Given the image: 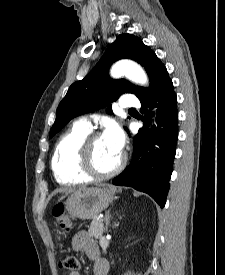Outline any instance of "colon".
<instances>
[{
  "label": "colon",
  "instance_id": "obj_1",
  "mask_svg": "<svg viewBox=\"0 0 225 275\" xmlns=\"http://www.w3.org/2000/svg\"><path fill=\"white\" fill-rule=\"evenodd\" d=\"M63 212L64 207L61 204L53 209V215L60 219V226L64 231L68 232L71 229V224L68 221L62 220ZM62 268L70 272H77L80 268V264L76 257L68 256L62 261Z\"/></svg>",
  "mask_w": 225,
  "mask_h": 275
}]
</instances>
